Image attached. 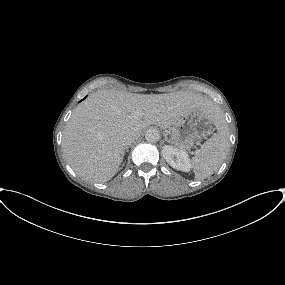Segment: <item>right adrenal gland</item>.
I'll return each instance as SVG.
<instances>
[{
	"label": "right adrenal gland",
	"mask_w": 285,
	"mask_h": 285,
	"mask_svg": "<svg viewBox=\"0 0 285 285\" xmlns=\"http://www.w3.org/2000/svg\"><path fill=\"white\" fill-rule=\"evenodd\" d=\"M128 148H129V147H125V148H124L123 153H122V156H121V162L123 161V157H124L125 153L128 151Z\"/></svg>",
	"instance_id": "1"
}]
</instances>
